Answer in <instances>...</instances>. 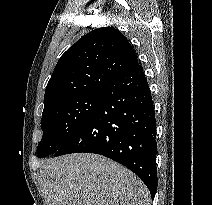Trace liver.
Returning a JSON list of instances; mask_svg holds the SVG:
<instances>
[{
	"label": "liver",
	"instance_id": "1",
	"mask_svg": "<svg viewBox=\"0 0 212 205\" xmlns=\"http://www.w3.org/2000/svg\"><path fill=\"white\" fill-rule=\"evenodd\" d=\"M40 182L47 205H146L149 199L133 172L91 153L46 160Z\"/></svg>",
	"mask_w": 212,
	"mask_h": 205
}]
</instances>
